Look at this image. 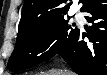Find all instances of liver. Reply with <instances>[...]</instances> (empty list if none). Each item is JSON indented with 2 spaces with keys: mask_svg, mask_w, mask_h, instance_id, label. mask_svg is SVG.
Masks as SVG:
<instances>
[{
  "mask_svg": "<svg viewBox=\"0 0 107 75\" xmlns=\"http://www.w3.org/2000/svg\"><path fill=\"white\" fill-rule=\"evenodd\" d=\"M46 75H74L72 72L69 71H62V70H58V71H50L49 74Z\"/></svg>",
  "mask_w": 107,
  "mask_h": 75,
  "instance_id": "6515ba94",
  "label": "liver"
}]
</instances>
